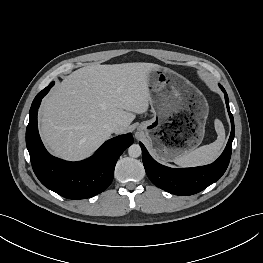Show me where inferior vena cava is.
<instances>
[{
  "label": "inferior vena cava",
  "instance_id": "1",
  "mask_svg": "<svg viewBox=\"0 0 263 263\" xmlns=\"http://www.w3.org/2000/svg\"><path fill=\"white\" fill-rule=\"evenodd\" d=\"M105 127L109 132L114 133L118 130L119 125L116 122H111L108 123Z\"/></svg>",
  "mask_w": 263,
  "mask_h": 263
}]
</instances>
